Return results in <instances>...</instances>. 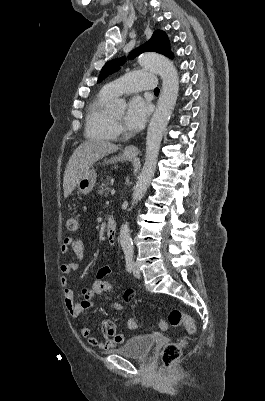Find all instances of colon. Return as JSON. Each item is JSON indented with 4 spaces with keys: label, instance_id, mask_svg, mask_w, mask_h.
<instances>
[{
    "label": "colon",
    "instance_id": "1",
    "mask_svg": "<svg viewBox=\"0 0 265 401\" xmlns=\"http://www.w3.org/2000/svg\"><path fill=\"white\" fill-rule=\"evenodd\" d=\"M66 228L70 233L76 232L78 229L77 218L74 216H69L66 219ZM180 325L184 326L185 330L189 334H193L196 331L194 320L189 315L177 309H174L169 313L167 320H162L160 322L161 329H166L168 326L177 327ZM128 327L135 329L137 327L136 320L133 318L129 319ZM185 345V340H179L177 342L167 344L161 353L163 364L168 367L174 363L180 357L182 349L185 347Z\"/></svg>",
    "mask_w": 265,
    "mask_h": 401
}]
</instances>
